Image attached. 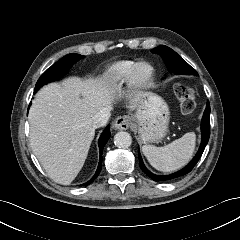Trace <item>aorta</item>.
<instances>
[{
    "label": "aorta",
    "mask_w": 240,
    "mask_h": 240,
    "mask_svg": "<svg viewBox=\"0 0 240 240\" xmlns=\"http://www.w3.org/2000/svg\"><path fill=\"white\" fill-rule=\"evenodd\" d=\"M132 143V137L128 132H118L117 134H115L114 136V144L118 147V148H128L130 147Z\"/></svg>",
    "instance_id": "762f6f07"
}]
</instances>
